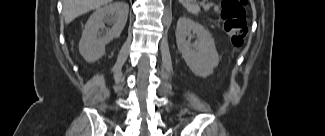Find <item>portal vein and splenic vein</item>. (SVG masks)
<instances>
[{
    "label": "portal vein and splenic vein",
    "mask_w": 325,
    "mask_h": 136,
    "mask_svg": "<svg viewBox=\"0 0 325 136\" xmlns=\"http://www.w3.org/2000/svg\"><path fill=\"white\" fill-rule=\"evenodd\" d=\"M210 6H211V4H205V5H203L204 10H206V11L209 10Z\"/></svg>",
    "instance_id": "1"
}]
</instances>
